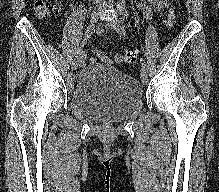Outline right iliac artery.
<instances>
[{
  "label": "right iliac artery",
  "instance_id": "obj_1",
  "mask_svg": "<svg viewBox=\"0 0 219 192\" xmlns=\"http://www.w3.org/2000/svg\"><path fill=\"white\" fill-rule=\"evenodd\" d=\"M95 32V27L94 25H90L84 36H83V39H82V42H81V45L80 47L78 48V51H77V56L76 57H79L81 59H83L85 57V52L83 51V47L84 45L87 43L88 39L90 38V36Z\"/></svg>",
  "mask_w": 219,
  "mask_h": 192
}]
</instances>
